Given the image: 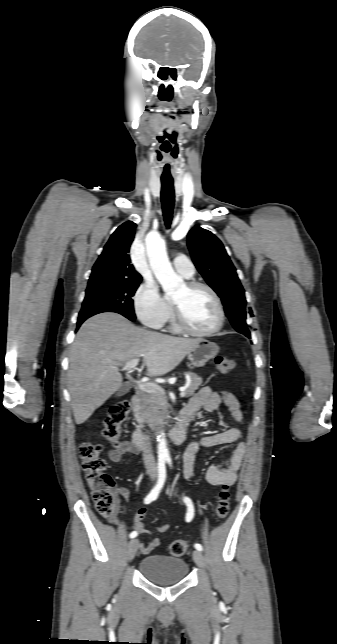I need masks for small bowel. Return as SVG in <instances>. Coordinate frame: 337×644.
Listing matches in <instances>:
<instances>
[{
    "instance_id": "obj_1",
    "label": "small bowel",
    "mask_w": 337,
    "mask_h": 644,
    "mask_svg": "<svg viewBox=\"0 0 337 644\" xmlns=\"http://www.w3.org/2000/svg\"><path fill=\"white\" fill-rule=\"evenodd\" d=\"M221 405L227 407L232 418L236 422H243V414L240 410V405L237 398L230 392H217L213 391L210 387L201 388L189 400L188 404L183 408L181 414H185L189 419H191L200 410L211 413L218 409ZM242 438V431L239 428L234 427L217 432L215 434L205 435L199 440L192 441L183 454L184 478L189 479L193 476L196 454L199 451L200 447H214L219 445L237 443L236 449L234 450L228 464L224 467L210 465L205 475L206 480L214 486L234 484L237 479V473L243 462L246 451V446L242 441ZM138 452V449L130 441H124L118 447L111 449L108 452V457L112 462L118 463L123 461L127 455H136L138 454ZM118 493L126 499H128L130 496L129 489L124 486L118 488ZM146 514V509L142 508L135 516L134 530L137 533H149V530L146 528L144 522ZM170 528V524H162L157 527V531L160 533H165L169 531ZM160 544L161 539L159 537H154L147 544L139 543L138 547L142 554L147 555L153 552Z\"/></svg>"
}]
</instances>
